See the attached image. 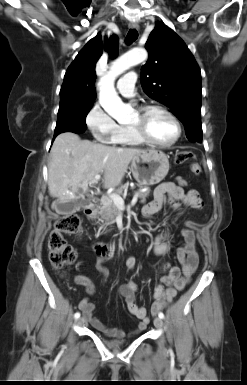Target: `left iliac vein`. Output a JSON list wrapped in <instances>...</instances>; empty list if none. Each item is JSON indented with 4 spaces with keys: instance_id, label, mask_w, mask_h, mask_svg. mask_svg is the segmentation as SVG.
Wrapping results in <instances>:
<instances>
[{
    "instance_id": "left-iliac-vein-1",
    "label": "left iliac vein",
    "mask_w": 247,
    "mask_h": 385,
    "mask_svg": "<svg viewBox=\"0 0 247 385\" xmlns=\"http://www.w3.org/2000/svg\"><path fill=\"white\" fill-rule=\"evenodd\" d=\"M154 325L156 328H162L163 327V320L160 317H156L154 319Z\"/></svg>"
}]
</instances>
